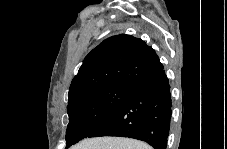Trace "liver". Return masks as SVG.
Listing matches in <instances>:
<instances>
[{
    "instance_id": "liver-1",
    "label": "liver",
    "mask_w": 227,
    "mask_h": 149,
    "mask_svg": "<svg viewBox=\"0 0 227 149\" xmlns=\"http://www.w3.org/2000/svg\"><path fill=\"white\" fill-rule=\"evenodd\" d=\"M75 149H152L148 144L130 138L97 137L85 139Z\"/></svg>"
}]
</instances>
